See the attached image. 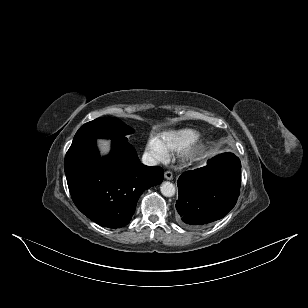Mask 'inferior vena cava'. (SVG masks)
<instances>
[{
	"mask_svg": "<svg viewBox=\"0 0 308 308\" xmlns=\"http://www.w3.org/2000/svg\"><path fill=\"white\" fill-rule=\"evenodd\" d=\"M142 163L147 166L157 165V160L149 153H144L142 156Z\"/></svg>",
	"mask_w": 308,
	"mask_h": 308,
	"instance_id": "obj_1",
	"label": "inferior vena cava"
}]
</instances>
